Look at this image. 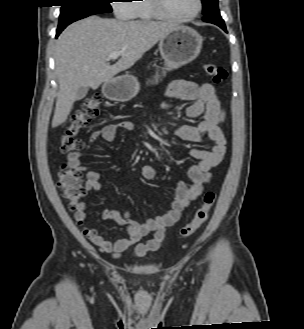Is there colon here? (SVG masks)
Returning a JSON list of instances; mask_svg holds the SVG:
<instances>
[{"instance_id": "obj_1", "label": "colon", "mask_w": 304, "mask_h": 329, "mask_svg": "<svg viewBox=\"0 0 304 329\" xmlns=\"http://www.w3.org/2000/svg\"><path fill=\"white\" fill-rule=\"evenodd\" d=\"M204 70L211 76L215 84H222L227 80V72L221 67L207 63L204 65ZM100 102L99 95H91L86 98L81 108L75 113L69 127L60 138V149L63 153L76 152L82 148V142L77 139L76 135L80 129L86 127L90 121L98 116ZM58 187L68 202L69 208L75 210L86 192L82 174L76 169L63 165L58 172ZM215 201V192L208 191L205 193L202 206L196 210L193 219L181 228V236H191L203 226Z\"/></svg>"}]
</instances>
